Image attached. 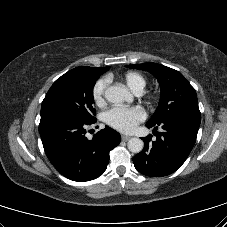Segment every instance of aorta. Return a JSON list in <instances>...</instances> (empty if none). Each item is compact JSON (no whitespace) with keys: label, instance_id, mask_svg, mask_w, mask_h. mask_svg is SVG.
Wrapping results in <instances>:
<instances>
[{"label":"aorta","instance_id":"1","mask_svg":"<svg viewBox=\"0 0 227 227\" xmlns=\"http://www.w3.org/2000/svg\"><path fill=\"white\" fill-rule=\"evenodd\" d=\"M105 98L111 103L119 104L129 98V92L123 87L114 85L106 89ZM143 147L144 144L140 138L133 137L128 141V149L133 153H140Z\"/></svg>","mask_w":227,"mask_h":227}]
</instances>
